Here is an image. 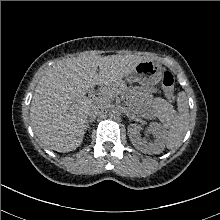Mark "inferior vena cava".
<instances>
[{
  "label": "inferior vena cava",
  "mask_w": 220,
  "mask_h": 220,
  "mask_svg": "<svg viewBox=\"0 0 220 220\" xmlns=\"http://www.w3.org/2000/svg\"><path fill=\"white\" fill-rule=\"evenodd\" d=\"M104 110V105H94L89 111V117L95 118L97 115L101 114Z\"/></svg>",
  "instance_id": "602c4592"
}]
</instances>
